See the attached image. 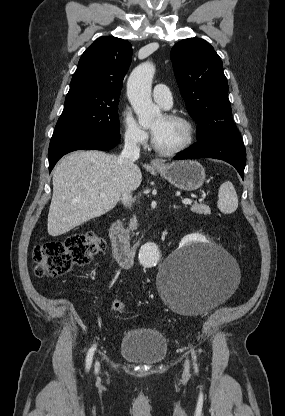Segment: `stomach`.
Listing matches in <instances>:
<instances>
[{"label": "stomach", "mask_w": 285, "mask_h": 416, "mask_svg": "<svg viewBox=\"0 0 285 416\" xmlns=\"http://www.w3.org/2000/svg\"><path fill=\"white\" fill-rule=\"evenodd\" d=\"M159 172L162 178L168 180L175 188L193 192L201 188L205 182V172L199 162L194 160H180V162H171V164H162L158 168H154Z\"/></svg>", "instance_id": "1"}]
</instances>
